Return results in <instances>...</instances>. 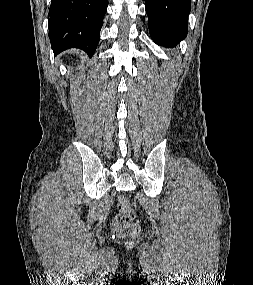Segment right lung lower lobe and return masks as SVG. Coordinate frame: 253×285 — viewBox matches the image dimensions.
Returning <instances> with one entry per match:
<instances>
[{"label":"right lung lower lobe","mask_w":253,"mask_h":285,"mask_svg":"<svg viewBox=\"0 0 253 285\" xmlns=\"http://www.w3.org/2000/svg\"><path fill=\"white\" fill-rule=\"evenodd\" d=\"M108 0H52L49 38L55 55L69 48H80L90 57L100 39Z\"/></svg>","instance_id":"1"}]
</instances>
